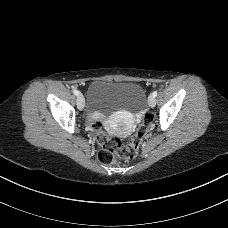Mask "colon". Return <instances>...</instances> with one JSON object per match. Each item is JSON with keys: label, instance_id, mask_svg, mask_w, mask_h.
I'll return each mask as SVG.
<instances>
[{"label": "colon", "instance_id": "1", "mask_svg": "<svg viewBox=\"0 0 228 228\" xmlns=\"http://www.w3.org/2000/svg\"><path fill=\"white\" fill-rule=\"evenodd\" d=\"M152 117L147 115L144 119L143 124L138 128L137 132L127 145H123L120 140L116 138L106 139L102 144V148L98 153V159L102 164H112L116 157L124 160H130L137 156L141 142L147 132ZM96 129L99 130V125H95Z\"/></svg>", "mask_w": 228, "mask_h": 228}]
</instances>
